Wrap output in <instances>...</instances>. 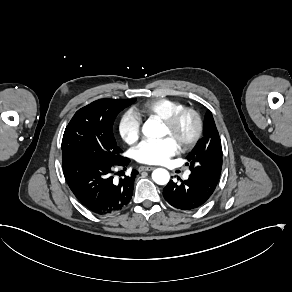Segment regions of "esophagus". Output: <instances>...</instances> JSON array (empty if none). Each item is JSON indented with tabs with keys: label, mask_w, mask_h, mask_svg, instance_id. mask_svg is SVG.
<instances>
[{
	"label": "esophagus",
	"mask_w": 292,
	"mask_h": 292,
	"mask_svg": "<svg viewBox=\"0 0 292 292\" xmlns=\"http://www.w3.org/2000/svg\"><path fill=\"white\" fill-rule=\"evenodd\" d=\"M154 169H155V167H152V166H140L138 168V171L139 172H142V171H152Z\"/></svg>",
	"instance_id": "obj_1"
}]
</instances>
